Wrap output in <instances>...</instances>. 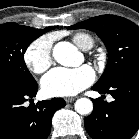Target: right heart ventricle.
<instances>
[{"instance_id": "e07e8e85", "label": "right heart ventricle", "mask_w": 139, "mask_h": 139, "mask_svg": "<svg viewBox=\"0 0 139 139\" xmlns=\"http://www.w3.org/2000/svg\"><path fill=\"white\" fill-rule=\"evenodd\" d=\"M73 42L83 50H89L94 45L93 37L85 32H78L75 33L72 37Z\"/></svg>"}]
</instances>
